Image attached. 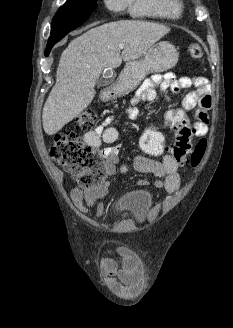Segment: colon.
Wrapping results in <instances>:
<instances>
[{"label":"colon","mask_w":233,"mask_h":328,"mask_svg":"<svg viewBox=\"0 0 233 328\" xmlns=\"http://www.w3.org/2000/svg\"><path fill=\"white\" fill-rule=\"evenodd\" d=\"M188 54L193 59L202 56V48L197 43L188 47ZM97 114L93 109H86L75 119L78 129L89 131L93 128ZM165 125L174 133L170 146H166L164 136L155 128L146 129L140 139L141 150L150 156L170 154L179 166L190 161L197 167L207 148L206 139L192 145V124L182 109L173 108L165 114ZM50 156L55 163L63 167L76 178L81 187L94 188L104 181L105 170L98 151L88 145L74 131L60 132L54 136Z\"/></svg>","instance_id":"colon-1"}]
</instances>
